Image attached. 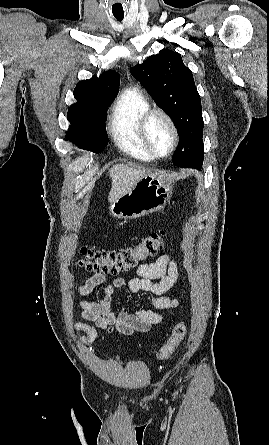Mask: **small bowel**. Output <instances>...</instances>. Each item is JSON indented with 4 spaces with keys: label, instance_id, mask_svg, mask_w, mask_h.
Instances as JSON below:
<instances>
[{
    "label": "small bowel",
    "instance_id": "small-bowel-1",
    "mask_svg": "<svg viewBox=\"0 0 269 445\" xmlns=\"http://www.w3.org/2000/svg\"><path fill=\"white\" fill-rule=\"evenodd\" d=\"M135 276L129 279L115 278L111 284L102 288L107 276L98 272L76 287V293L86 296L95 292L96 298L92 301L80 300L78 305L83 319L90 321L95 327L125 335L135 332H147L153 325L163 321L164 315L150 309L121 308L115 310L112 305L115 290L127 288L132 293H148L149 303L156 310H169L179 306L176 298L166 293L178 280V266L176 261L168 254L161 255L152 263L139 264L135 269ZM83 322H75L73 328L84 334L78 336L82 345H90L97 337L96 328Z\"/></svg>",
    "mask_w": 269,
    "mask_h": 445
}]
</instances>
